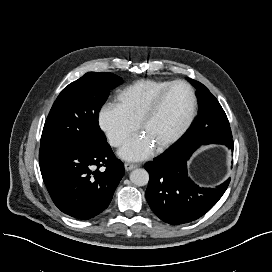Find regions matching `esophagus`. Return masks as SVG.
I'll use <instances>...</instances> for the list:
<instances>
[{
  "label": "esophagus",
  "instance_id": "obj_1",
  "mask_svg": "<svg viewBox=\"0 0 272 272\" xmlns=\"http://www.w3.org/2000/svg\"><path fill=\"white\" fill-rule=\"evenodd\" d=\"M124 166L127 171H130V170H133V169L139 167L140 165L134 164V163H125Z\"/></svg>",
  "mask_w": 272,
  "mask_h": 272
}]
</instances>
